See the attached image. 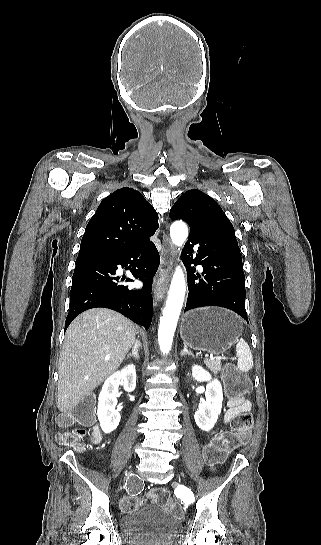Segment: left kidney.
Instances as JSON below:
<instances>
[{
	"label": "left kidney",
	"instance_id": "1",
	"mask_svg": "<svg viewBox=\"0 0 321 545\" xmlns=\"http://www.w3.org/2000/svg\"><path fill=\"white\" fill-rule=\"evenodd\" d=\"M192 377L195 381L203 383V381H208V385L205 391L206 401L200 403L198 411L194 415L196 425L202 431H211L215 423H217L218 415L221 413L222 401H223V391L220 381L213 379L208 371L199 367V365H194L192 367Z\"/></svg>",
	"mask_w": 321,
	"mask_h": 545
}]
</instances>
